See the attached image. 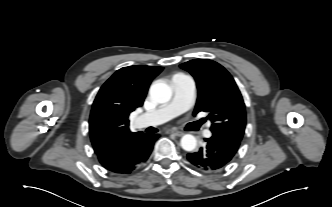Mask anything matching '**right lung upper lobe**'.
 Segmentation results:
<instances>
[{"label":"right lung upper lobe","instance_id":"1","mask_svg":"<svg viewBox=\"0 0 332 207\" xmlns=\"http://www.w3.org/2000/svg\"><path fill=\"white\" fill-rule=\"evenodd\" d=\"M162 69L145 65L124 67L103 84L92 105L89 122L96 154L116 149L135 134L129 129L128 116L143 105L151 81Z\"/></svg>","mask_w":332,"mask_h":207}]
</instances>
